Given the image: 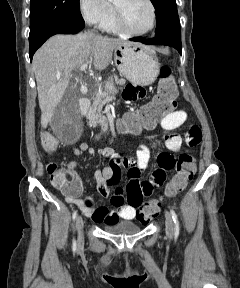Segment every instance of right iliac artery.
I'll list each match as a JSON object with an SVG mask.
<instances>
[{"label":"right iliac artery","mask_w":240,"mask_h":288,"mask_svg":"<svg viewBox=\"0 0 240 288\" xmlns=\"http://www.w3.org/2000/svg\"><path fill=\"white\" fill-rule=\"evenodd\" d=\"M76 217H77V211H75V212L73 213V215H72V218H73V220H75V219H76ZM76 248H77V244H76V241H75V240H73V243H72V249H73V251H75V250H76Z\"/></svg>","instance_id":"1"}]
</instances>
